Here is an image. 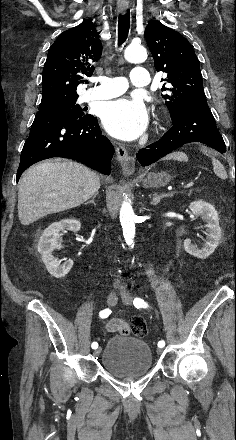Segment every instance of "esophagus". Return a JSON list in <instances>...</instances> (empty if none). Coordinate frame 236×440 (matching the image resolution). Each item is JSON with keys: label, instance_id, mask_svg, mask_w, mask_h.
<instances>
[{"label": "esophagus", "instance_id": "1", "mask_svg": "<svg viewBox=\"0 0 236 440\" xmlns=\"http://www.w3.org/2000/svg\"><path fill=\"white\" fill-rule=\"evenodd\" d=\"M127 10H128L127 2L118 3L119 12L126 13ZM115 151H116V158L121 163L124 173L126 175H131L135 170L134 157L129 156L127 150L123 146H117Z\"/></svg>", "mask_w": 236, "mask_h": 440}]
</instances>
